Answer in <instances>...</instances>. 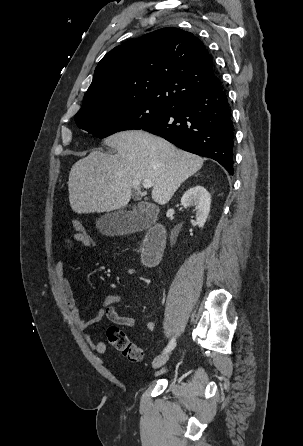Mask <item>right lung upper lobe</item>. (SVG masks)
Returning <instances> with one entry per match:
<instances>
[{"mask_svg":"<svg viewBox=\"0 0 303 446\" xmlns=\"http://www.w3.org/2000/svg\"><path fill=\"white\" fill-rule=\"evenodd\" d=\"M218 82L213 58L196 36L162 28L108 52L98 63L78 112L132 101L173 106Z\"/></svg>","mask_w":303,"mask_h":446,"instance_id":"cb5924a9","label":"right lung upper lobe"}]
</instances>
